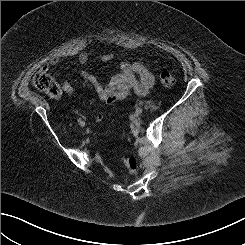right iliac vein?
Wrapping results in <instances>:
<instances>
[{"label":"right iliac vein","instance_id":"1","mask_svg":"<svg viewBox=\"0 0 245 245\" xmlns=\"http://www.w3.org/2000/svg\"><path fill=\"white\" fill-rule=\"evenodd\" d=\"M81 127H84L85 126V122H83V123H81V125H80Z\"/></svg>","mask_w":245,"mask_h":245}]
</instances>
